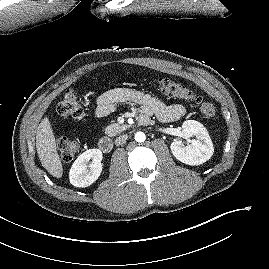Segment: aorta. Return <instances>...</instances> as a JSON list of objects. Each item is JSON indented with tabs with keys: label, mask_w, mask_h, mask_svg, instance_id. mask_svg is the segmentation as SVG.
<instances>
[{
	"label": "aorta",
	"mask_w": 269,
	"mask_h": 269,
	"mask_svg": "<svg viewBox=\"0 0 269 269\" xmlns=\"http://www.w3.org/2000/svg\"><path fill=\"white\" fill-rule=\"evenodd\" d=\"M145 139H146V136H145V134H144L143 132H137V133L135 134V140H136L137 142H144Z\"/></svg>",
	"instance_id": "aorta-1"
}]
</instances>
